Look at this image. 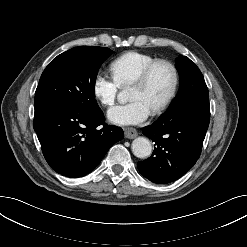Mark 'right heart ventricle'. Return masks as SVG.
<instances>
[{"label":"right heart ventricle","instance_id":"e07e8e85","mask_svg":"<svg viewBox=\"0 0 247 247\" xmlns=\"http://www.w3.org/2000/svg\"><path fill=\"white\" fill-rule=\"evenodd\" d=\"M157 58L138 51H128L113 60L109 66L113 80L122 88L128 87L139 74Z\"/></svg>","mask_w":247,"mask_h":247}]
</instances>
